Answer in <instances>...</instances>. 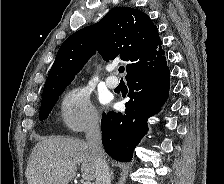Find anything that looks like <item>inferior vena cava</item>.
Returning <instances> with one entry per match:
<instances>
[{
    "label": "inferior vena cava",
    "mask_w": 224,
    "mask_h": 184,
    "mask_svg": "<svg viewBox=\"0 0 224 184\" xmlns=\"http://www.w3.org/2000/svg\"><path fill=\"white\" fill-rule=\"evenodd\" d=\"M86 140L96 161V183L111 184L109 166L101 142V128L98 118L92 119L86 128Z\"/></svg>",
    "instance_id": "1"
}]
</instances>
